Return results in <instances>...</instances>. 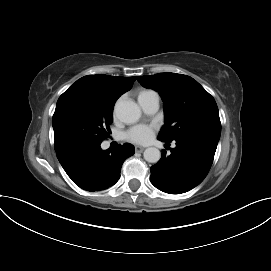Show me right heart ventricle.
<instances>
[{
	"label": "right heart ventricle",
	"instance_id": "1",
	"mask_svg": "<svg viewBox=\"0 0 271 271\" xmlns=\"http://www.w3.org/2000/svg\"><path fill=\"white\" fill-rule=\"evenodd\" d=\"M150 92H151L150 90H143V91H141V92L139 93V95H138V99L147 96Z\"/></svg>",
	"mask_w": 271,
	"mask_h": 271
}]
</instances>
